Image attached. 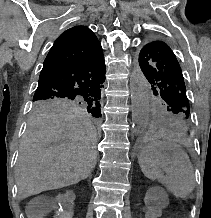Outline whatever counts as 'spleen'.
<instances>
[{
  "label": "spleen",
  "mask_w": 211,
  "mask_h": 218,
  "mask_svg": "<svg viewBox=\"0 0 211 218\" xmlns=\"http://www.w3.org/2000/svg\"><path fill=\"white\" fill-rule=\"evenodd\" d=\"M139 166L146 178L164 184L176 198H186L193 192L195 178L193 166L185 152H178L170 158L161 150H145L138 158ZM166 172V176L161 174Z\"/></svg>",
  "instance_id": "spleen-1"
}]
</instances>
